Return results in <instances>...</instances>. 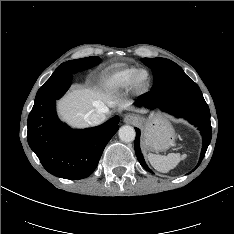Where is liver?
Here are the masks:
<instances>
[{"label":"liver","mask_w":234,"mask_h":234,"mask_svg":"<svg viewBox=\"0 0 234 234\" xmlns=\"http://www.w3.org/2000/svg\"><path fill=\"white\" fill-rule=\"evenodd\" d=\"M101 104L107 107L118 105L120 109H128L130 106L129 102L115 100L110 93H103L96 89L75 88L58 101L57 109L61 118L68 124L75 127H86L88 123L85 115L91 110L98 109ZM137 111L146 112L144 109Z\"/></svg>","instance_id":"liver-1"}]
</instances>
